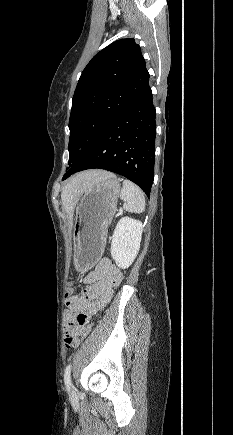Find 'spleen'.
I'll return each instance as SVG.
<instances>
[{"mask_svg":"<svg viewBox=\"0 0 233 435\" xmlns=\"http://www.w3.org/2000/svg\"><path fill=\"white\" fill-rule=\"evenodd\" d=\"M120 198L124 201V209L132 213H142L145 209L143 191L130 180L123 181Z\"/></svg>","mask_w":233,"mask_h":435,"instance_id":"1","label":"spleen"}]
</instances>
